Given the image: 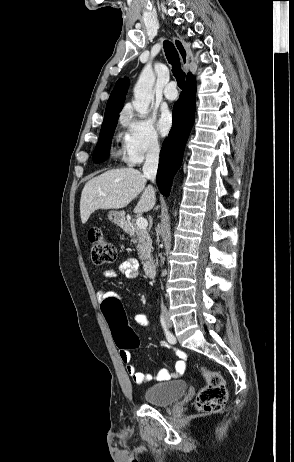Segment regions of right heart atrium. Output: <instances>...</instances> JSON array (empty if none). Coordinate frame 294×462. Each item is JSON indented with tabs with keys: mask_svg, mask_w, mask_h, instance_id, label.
<instances>
[{
	"mask_svg": "<svg viewBox=\"0 0 294 462\" xmlns=\"http://www.w3.org/2000/svg\"><path fill=\"white\" fill-rule=\"evenodd\" d=\"M122 124L125 128L122 152L129 165L140 164L145 158L160 152V137L150 120L137 118L126 111L122 116Z\"/></svg>",
	"mask_w": 294,
	"mask_h": 462,
	"instance_id": "right-heart-atrium-1",
	"label": "right heart atrium"
}]
</instances>
